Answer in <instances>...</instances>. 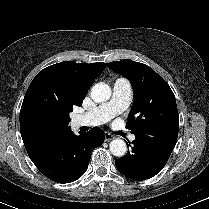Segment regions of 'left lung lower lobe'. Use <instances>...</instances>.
Here are the masks:
<instances>
[{
    "mask_svg": "<svg viewBox=\"0 0 209 209\" xmlns=\"http://www.w3.org/2000/svg\"><path fill=\"white\" fill-rule=\"evenodd\" d=\"M177 138H156L148 135H136L131 151L115 160L117 169L133 180H146L157 173L167 163Z\"/></svg>",
    "mask_w": 209,
    "mask_h": 209,
    "instance_id": "0a47b994",
    "label": "left lung lower lobe"
}]
</instances>
